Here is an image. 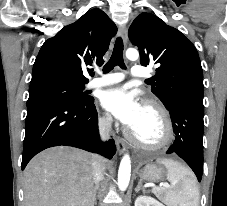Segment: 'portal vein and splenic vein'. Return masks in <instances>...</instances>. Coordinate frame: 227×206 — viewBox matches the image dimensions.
I'll use <instances>...</instances> for the list:
<instances>
[{"instance_id":"obj_1","label":"portal vein and splenic vein","mask_w":227,"mask_h":206,"mask_svg":"<svg viewBox=\"0 0 227 206\" xmlns=\"http://www.w3.org/2000/svg\"><path fill=\"white\" fill-rule=\"evenodd\" d=\"M169 185L167 183H164L163 184V187H168Z\"/></svg>"}]
</instances>
